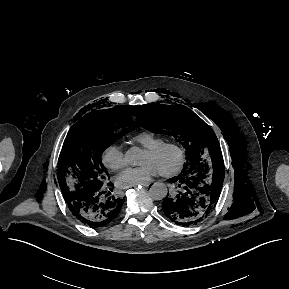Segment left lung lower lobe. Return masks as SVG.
<instances>
[{
    "mask_svg": "<svg viewBox=\"0 0 289 289\" xmlns=\"http://www.w3.org/2000/svg\"><path fill=\"white\" fill-rule=\"evenodd\" d=\"M223 168L197 169L169 179L175 190L163 199L165 215L182 226L196 225L212 212L222 189Z\"/></svg>",
    "mask_w": 289,
    "mask_h": 289,
    "instance_id": "obj_1",
    "label": "left lung lower lobe"
}]
</instances>
